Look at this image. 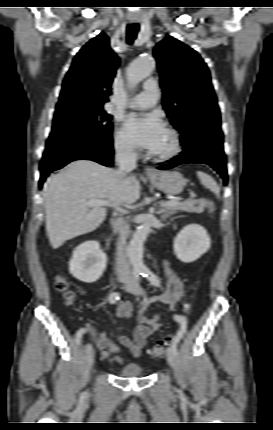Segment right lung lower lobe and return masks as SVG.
<instances>
[{
    "label": "right lung lower lobe",
    "mask_w": 273,
    "mask_h": 430,
    "mask_svg": "<svg viewBox=\"0 0 273 430\" xmlns=\"http://www.w3.org/2000/svg\"><path fill=\"white\" fill-rule=\"evenodd\" d=\"M79 159L93 160L102 165L111 167L113 165V145L110 144L105 147L89 145L43 158L40 165L41 177L39 180V187H42L46 177L52 171L60 169L69 162Z\"/></svg>",
    "instance_id": "obj_1"
}]
</instances>
